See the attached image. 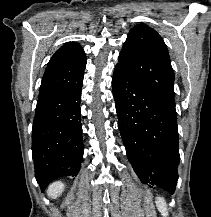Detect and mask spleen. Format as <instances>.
Instances as JSON below:
<instances>
[{
  "label": "spleen",
  "instance_id": "obj_1",
  "mask_svg": "<svg viewBox=\"0 0 211 217\" xmlns=\"http://www.w3.org/2000/svg\"><path fill=\"white\" fill-rule=\"evenodd\" d=\"M156 206L163 217H168L167 204L163 198L156 199Z\"/></svg>",
  "mask_w": 211,
  "mask_h": 217
}]
</instances>
